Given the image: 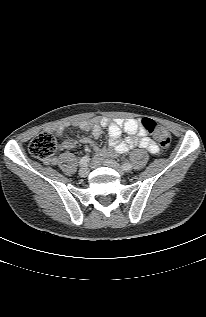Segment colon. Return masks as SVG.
Returning <instances> with one entry per match:
<instances>
[{"instance_id": "colon-1", "label": "colon", "mask_w": 206, "mask_h": 317, "mask_svg": "<svg viewBox=\"0 0 206 317\" xmlns=\"http://www.w3.org/2000/svg\"><path fill=\"white\" fill-rule=\"evenodd\" d=\"M141 124L146 133L154 136L161 146L169 145L170 134L162 125L150 118L142 119ZM28 150L39 159L49 160L56 153L57 141L51 133L41 132L30 141Z\"/></svg>"}]
</instances>
